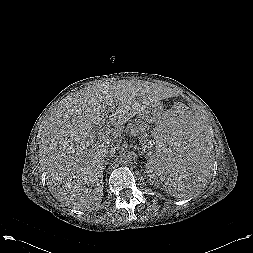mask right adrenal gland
I'll return each instance as SVG.
<instances>
[{
	"instance_id": "1",
	"label": "right adrenal gland",
	"mask_w": 253,
	"mask_h": 253,
	"mask_svg": "<svg viewBox=\"0 0 253 253\" xmlns=\"http://www.w3.org/2000/svg\"><path fill=\"white\" fill-rule=\"evenodd\" d=\"M110 158V156L109 157H107V159L105 160V162H104V167H106V165H108L109 164V159Z\"/></svg>"
}]
</instances>
